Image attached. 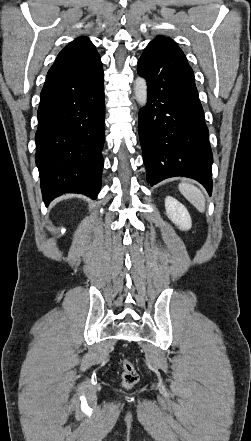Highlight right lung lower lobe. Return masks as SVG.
I'll list each match as a JSON object with an SVG mask.
<instances>
[{"label": "right lung lower lobe", "mask_w": 251, "mask_h": 441, "mask_svg": "<svg viewBox=\"0 0 251 441\" xmlns=\"http://www.w3.org/2000/svg\"><path fill=\"white\" fill-rule=\"evenodd\" d=\"M102 65L71 75H47L35 135L36 164L46 204L66 192L96 199L104 144Z\"/></svg>", "instance_id": "98d812e1"}]
</instances>
